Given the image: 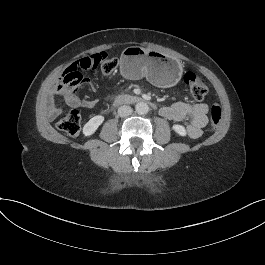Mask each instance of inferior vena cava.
Returning a JSON list of instances; mask_svg holds the SVG:
<instances>
[{"instance_id": "obj_1", "label": "inferior vena cava", "mask_w": 265, "mask_h": 265, "mask_svg": "<svg viewBox=\"0 0 265 265\" xmlns=\"http://www.w3.org/2000/svg\"><path fill=\"white\" fill-rule=\"evenodd\" d=\"M133 113V109L130 106H121L118 109V114L120 117H126Z\"/></svg>"}]
</instances>
